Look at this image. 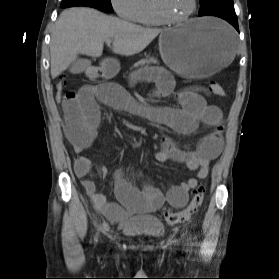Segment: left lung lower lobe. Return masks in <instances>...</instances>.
<instances>
[{
	"instance_id": "left-lung-lower-lobe-1",
	"label": "left lung lower lobe",
	"mask_w": 279,
	"mask_h": 279,
	"mask_svg": "<svg viewBox=\"0 0 279 279\" xmlns=\"http://www.w3.org/2000/svg\"><path fill=\"white\" fill-rule=\"evenodd\" d=\"M216 16L229 22L238 32V20L234 8H222L209 12L203 16Z\"/></svg>"
}]
</instances>
